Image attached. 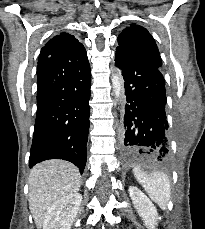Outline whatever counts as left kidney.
Segmentation results:
<instances>
[{"mask_svg":"<svg viewBox=\"0 0 205 229\" xmlns=\"http://www.w3.org/2000/svg\"><path fill=\"white\" fill-rule=\"evenodd\" d=\"M129 194L138 214L149 229H155L158 219L157 209L149 198L137 187L130 186Z\"/></svg>","mask_w":205,"mask_h":229,"instance_id":"1","label":"left kidney"}]
</instances>
